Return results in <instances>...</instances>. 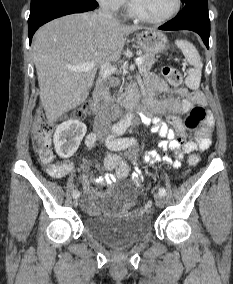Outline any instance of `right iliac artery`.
I'll use <instances>...</instances> for the list:
<instances>
[{"mask_svg": "<svg viewBox=\"0 0 233 284\" xmlns=\"http://www.w3.org/2000/svg\"><path fill=\"white\" fill-rule=\"evenodd\" d=\"M116 130H117L116 127L112 128L113 132H115ZM96 140H97V134L96 133H90L86 137L85 143H86L87 147L92 148L95 145ZM72 195H73L74 198H77V197H79L80 193H79L78 190H74Z\"/></svg>", "mask_w": 233, "mask_h": 284, "instance_id": "obj_1", "label": "right iliac artery"}]
</instances>
